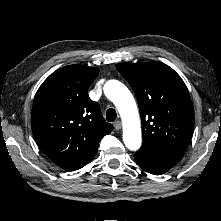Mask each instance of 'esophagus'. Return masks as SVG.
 <instances>
[{"label": "esophagus", "mask_w": 221, "mask_h": 221, "mask_svg": "<svg viewBox=\"0 0 221 221\" xmlns=\"http://www.w3.org/2000/svg\"><path fill=\"white\" fill-rule=\"evenodd\" d=\"M114 128H115L116 130H120V129L122 128V123H121L120 121H116V122L114 123Z\"/></svg>", "instance_id": "1"}]
</instances>
